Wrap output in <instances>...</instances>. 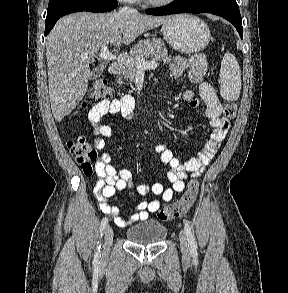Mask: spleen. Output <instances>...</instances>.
Segmentation results:
<instances>
[{
  "mask_svg": "<svg viewBox=\"0 0 288 293\" xmlns=\"http://www.w3.org/2000/svg\"><path fill=\"white\" fill-rule=\"evenodd\" d=\"M219 78L221 96L229 101L237 100L241 91V70L235 56L229 51L222 59Z\"/></svg>",
  "mask_w": 288,
  "mask_h": 293,
  "instance_id": "1",
  "label": "spleen"
}]
</instances>
